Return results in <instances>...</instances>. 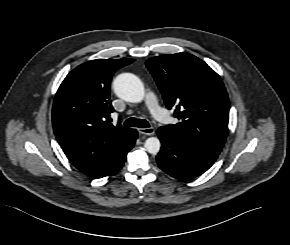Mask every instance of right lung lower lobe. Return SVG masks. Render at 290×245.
<instances>
[{"label":"right lung lower lobe","mask_w":290,"mask_h":245,"mask_svg":"<svg viewBox=\"0 0 290 245\" xmlns=\"http://www.w3.org/2000/svg\"><path fill=\"white\" fill-rule=\"evenodd\" d=\"M136 138H137V131L135 130V137H134V141H133V146H134V143H135ZM125 158L112 171H110L108 174L104 175L103 177L109 176V175H112V174L118 172L122 168V166L124 164V161H125Z\"/></svg>","instance_id":"1"}]
</instances>
